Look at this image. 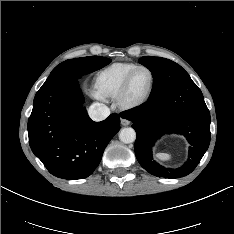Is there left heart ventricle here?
I'll use <instances>...</instances> for the list:
<instances>
[{
	"label": "left heart ventricle",
	"instance_id": "obj_1",
	"mask_svg": "<svg viewBox=\"0 0 234 234\" xmlns=\"http://www.w3.org/2000/svg\"><path fill=\"white\" fill-rule=\"evenodd\" d=\"M150 83L151 75L147 70L137 71L130 85L129 98L137 99L143 96L148 91Z\"/></svg>",
	"mask_w": 234,
	"mask_h": 234
}]
</instances>
